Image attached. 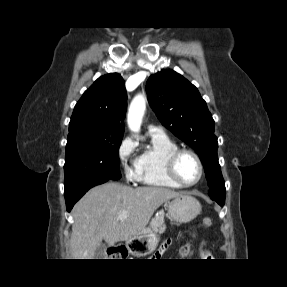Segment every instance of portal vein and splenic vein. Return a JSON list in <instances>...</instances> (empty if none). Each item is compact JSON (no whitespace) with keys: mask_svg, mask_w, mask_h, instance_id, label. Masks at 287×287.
<instances>
[{"mask_svg":"<svg viewBox=\"0 0 287 287\" xmlns=\"http://www.w3.org/2000/svg\"><path fill=\"white\" fill-rule=\"evenodd\" d=\"M127 215H128V211L124 210L118 214V218L123 219V218H126Z\"/></svg>","mask_w":287,"mask_h":287,"instance_id":"1","label":"portal vein and splenic vein"}]
</instances>
